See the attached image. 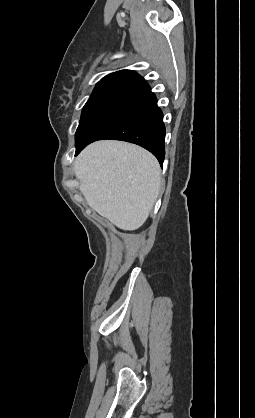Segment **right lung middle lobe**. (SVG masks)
I'll return each instance as SVG.
<instances>
[{
	"mask_svg": "<svg viewBox=\"0 0 255 418\" xmlns=\"http://www.w3.org/2000/svg\"><path fill=\"white\" fill-rule=\"evenodd\" d=\"M124 88L121 86L115 85H97L85 104L79 126L77 128L75 134L76 142L82 136L84 130L92 120V118L96 115V113L116 94L122 91Z\"/></svg>",
	"mask_w": 255,
	"mask_h": 418,
	"instance_id": "obj_1",
	"label": "right lung middle lobe"
}]
</instances>
